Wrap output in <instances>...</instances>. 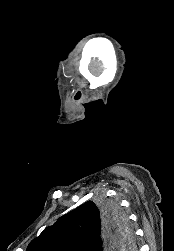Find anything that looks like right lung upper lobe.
<instances>
[{
    "instance_id": "right-lung-upper-lobe-1",
    "label": "right lung upper lobe",
    "mask_w": 174,
    "mask_h": 251,
    "mask_svg": "<svg viewBox=\"0 0 174 251\" xmlns=\"http://www.w3.org/2000/svg\"><path fill=\"white\" fill-rule=\"evenodd\" d=\"M103 215L92 201L60 217L52 226L47 227L33 239L26 251H103L119 250L122 238L113 235L111 247H103Z\"/></svg>"
}]
</instances>
